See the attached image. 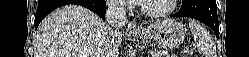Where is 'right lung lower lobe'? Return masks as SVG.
Segmentation results:
<instances>
[{
	"label": "right lung lower lobe",
	"instance_id": "right-lung-lower-lobe-1",
	"mask_svg": "<svg viewBox=\"0 0 249 57\" xmlns=\"http://www.w3.org/2000/svg\"><path fill=\"white\" fill-rule=\"evenodd\" d=\"M67 4L84 6L98 14L101 18H105L106 4L104 0H39L34 21L35 28L37 29L39 23L47 14L54 9Z\"/></svg>",
	"mask_w": 249,
	"mask_h": 57
}]
</instances>
